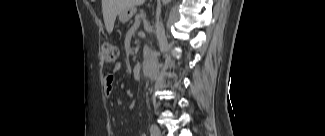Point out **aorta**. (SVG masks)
<instances>
[{
  "label": "aorta",
  "instance_id": "obj_1",
  "mask_svg": "<svg viewBox=\"0 0 325 136\" xmlns=\"http://www.w3.org/2000/svg\"><path fill=\"white\" fill-rule=\"evenodd\" d=\"M162 3L163 5H167L169 3V0H163Z\"/></svg>",
  "mask_w": 325,
  "mask_h": 136
}]
</instances>
